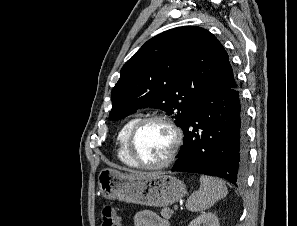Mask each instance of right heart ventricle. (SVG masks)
I'll use <instances>...</instances> for the list:
<instances>
[{
	"instance_id": "1",
	"label": "right heart ventricle",
	"mask_w": 297,
	"mask_h": 226,
	"mask_svg": "<svg viewBox=\"0 0 297 226\" xmlns=\"http://www.w3.org/2000/svg\"><path fill=\"white\" fill-rule=\"evenodd\" d=\"M140 118L139 115L133 116L129 118L120 128L117 134V144H118V151L117 156L118 159L125 165L129 167H137L134 161L131 159L128 150H127V138L129 132L134 125V123Z\"/></svg>"
}]
</instances>
